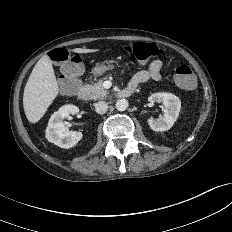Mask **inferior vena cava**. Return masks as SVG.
I'll list each match as a JSON object with an SVG mask.
<instances>
[{
    "mask_svg": "<svg viewBox=\"0 0 232 232\" xmlns=\"http://www.w3.org/2000/svg\"><path fill=\"white\" fill-rule=\"evenodd\" d=\"M107 109H108V104L106 102L99 101V102L95 103V111L98 114L106 113Z\"/></svg>",
    "mask_w": 232,
    "mask_h": 232,
    "instance_id": "inferior-vena-cava-1",
    "label": "inferior vena cava"
}]
</instances>
